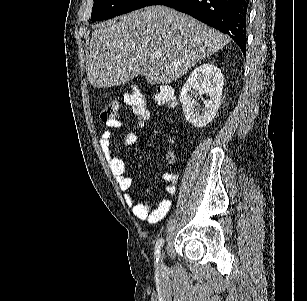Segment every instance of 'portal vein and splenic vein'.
Instances as JSON below:
<instances>
[{"instance_id":"1","label":"portal vein and splenic vein","mask_w":307,"mask_h":301,"mask_svg":"<svg viewBox=\"0 0 307 301\" xmlns=\"http://www.w3.org/2000/svg\"><path fill=\"white\" fill-rule=\"evenodd\" d=\"M155 56H157V58H159V56H161V54H155Z\"/></svg>"}]
</instances>
